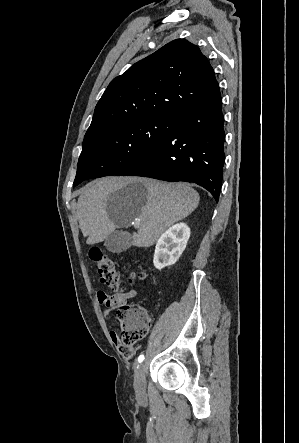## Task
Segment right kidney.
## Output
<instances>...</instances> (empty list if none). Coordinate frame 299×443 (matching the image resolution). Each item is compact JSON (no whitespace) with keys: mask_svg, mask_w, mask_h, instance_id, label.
Masks as SVG:
<instances>
[{"mask_svg":"<svg viewBox=\"0 0 299 443\" xmlns=\"http://www.w3.org/2000/svg\"><path fill=\"white\" fill-rule=\"evenodd\" d=\"M190 228L185 223L173 225L158 239L155 247L154 266L161 270L173 265L186 248Z\"/></svg>","mask_w":299,"mask_h":443,"instance_id":"1","label":"right kidney"}]
</instances>
